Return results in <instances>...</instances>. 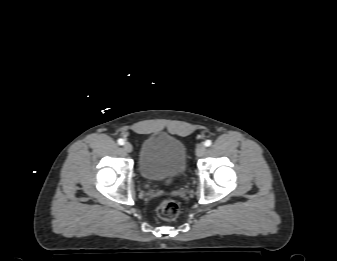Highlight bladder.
<instances>
[{"label":"bladder","instance_id":"bladder-1","mask_svg":"<svg viewBox=\"0 0 337 261\" xmlns=\"http://www.w3.org/2000/svg\"><path fill=\"white\" fill-rule=\"evenodd\" d=\"M138 169L147 181L181 177L187 170L186 147L168 134H150L141 143Z\"/></svg>","mask_w":337,"mask_h":261}]
</instances>
